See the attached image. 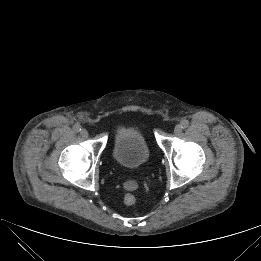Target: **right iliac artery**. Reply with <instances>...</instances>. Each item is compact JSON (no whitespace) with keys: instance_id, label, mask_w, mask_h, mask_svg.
Returning a JSON list of instances; mask_svg holds the SVG:
<instances>
[{"instance_id":"obj_1","label":"right iliac artery","mask_w":261,"mask_h":261,"mask_svg":"<svg viewBox=\"0 0 261 261\" xmlns=\"http://www.w3.org/2000/svg\"><path fill=\"white\" fill-rule=\"evenodd\" d=\"M73 129L76 132H80L81 131V126L79 124H76V125H74Z\"/></svg>"}]
</instances>
